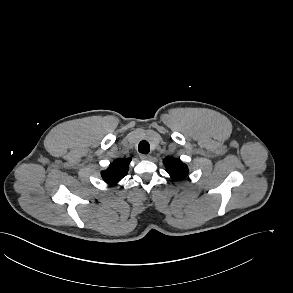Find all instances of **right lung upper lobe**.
Masks as SVG:
<instances>
[{"mask_svg":"<svg viewBox=\"0 0 293 293\" xmlns=\"http://www.w3.org/2000/svg\"><path fill=\"white\" fill-rule=\"evenodd\" d=\"M131 159H116L110 165L106 171L101 173L103 179L107 183H118L128 173L129 163Z\"/></svg>","mask_w":293,"mask_h":293,"instance_id":"1","label":"right lung upper lobe"}]
</instances>
